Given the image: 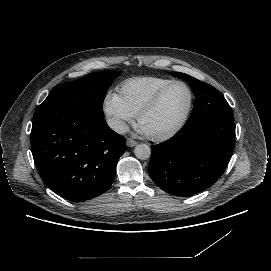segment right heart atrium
I'll use <instances>...</instances> for the list:
<instances>
[{
	"mask_svg": "<svg viewBox=\"0 0 271 271\" xmlns=\"http://www.w3.org/2000/svg\"><path fill=\"white\" fill-rule=\"evenodd\" d=\"M102 109L109 119L110 125L117 132H124L133 120L132 114L123 105L120 96L108 91L102 101Z\"/></svg>",
	"mask_w": 271,
	"mask_h": 271,
	"instance_id": "d8ad5b80",
	"label": "right heart atrium"
}]
</instances>
